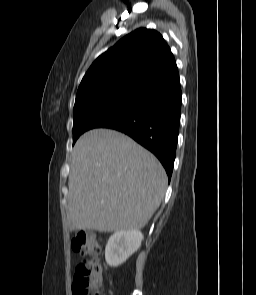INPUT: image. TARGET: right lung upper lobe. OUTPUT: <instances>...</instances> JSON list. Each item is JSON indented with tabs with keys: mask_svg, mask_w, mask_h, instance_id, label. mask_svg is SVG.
<instances>
[{
	"mask_svg": "<svg viewBox=\"0 0 256 295\" xmlns=\"http://www.w3.org/2000/svg\"><path fill=\"white\" fill-rule=\"evenodd\" d=\"M175 61L155 30L139 28L100 55L83 77L76 101L93 104L128 92H137Z\"/></svg>",
	"mask_w": 256,
	"mask_h": 295,
	"instance_id": "cb5924a9",
	"label": "right lung upper lobe"
}]
</instances>
